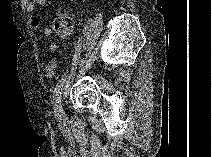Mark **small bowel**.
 I'll return each mask as SVG.
<instances>
[{
	"instance_id": "c3829d8e",
	"label": "small bowel",
	"mask_w": 212,
	"mask_h": 157,
	"mask_svg": "<svg viewBox=\"0 0 212 157\" xmlns=\"http://www.w3.org/2000/svg\"><path fill=\"white\" fill-rule=\"evenodd\" d=\"M37 4L42 5L44 7H47L51 10H53L55 8V4L50 0H25L23 2L24 9L27 12L34 11ZM30 26L33 30L39 29L40 19H39L38 16L32 15L30 17ZM43 35L45 37H50L52 35L51 28L50 27L43 28ZM48 48H49L50 52L55 53L57 51L58 46L55 42H50ZM56 68H57V61L55 59L49 60L46 64V67H45L46 77L53 78L54 75H55Z\"/></svg>"
}]
</instances>
